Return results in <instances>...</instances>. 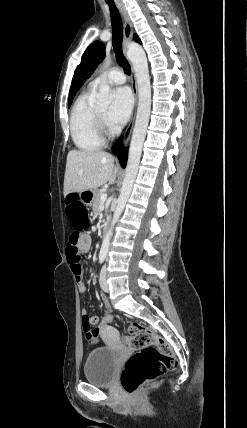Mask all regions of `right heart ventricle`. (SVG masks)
I'll use <instances>...</instances> for the list:
<instances>
[{
	"label": "right heart ventricle",
	"mask_w": 247,
	"mask_h": 428,
	"mask_svg": "<svg viewBox=\"0 0 247 428\" xmlns=\"http://www.w3.org/2000/svg\"><path fill=\"white\" fill-rule=\"evenodd\" d=\"M94 88L88 87L75 101L70 117L71 137L76 147L94 151L102 147L104 138L99 133L94 119L92 103Z\"/></svg>",
	"instance_id": "right-heart-ventricle-1"
}]
</instances>
